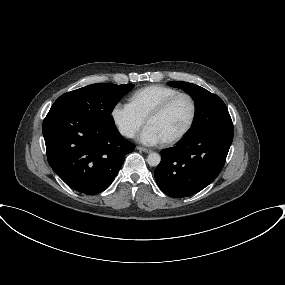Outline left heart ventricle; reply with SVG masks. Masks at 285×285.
<instances>
[{"label": "left heart ventricle", "instance_id": "left-heart-ventricle-1", "mask_svg": "<svg viewBox=\"0 0 285 285\" xmlns=\"http://www.w3.org/2000/svg\"><path fill=\"white\" fill-rule=\"evenodd\" d=\"M191 116V105L187 98L177 99L168 110L148 122L163 141L178 135L187 125Z\"/></svg>", "mask_w": 285, "mask_h": 285}]
</instances>
